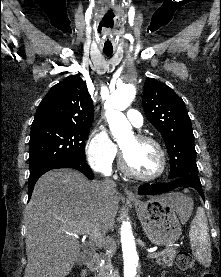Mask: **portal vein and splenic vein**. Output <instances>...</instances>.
<instances>
[{"instance_id": "portal-vein-and-splenic-vein-1", "label": "portal vein and splenic vein", "mask_w": 221, "mask_h": 277, "mask_svg": "<svg viewBox=\"0 0 221 277\" xmlns=\"http://www.w3.org/2000/svg\"><path fill=\"white\" fill-rule=\"evenodd\" d=\"M82 233L83 234H89L91 237H93L95 240L98 241V244H106L107 243V241H105L103 235L91 226L85 227ZM75 236H77V235H75ZM169 249H170L169 247H166L164 250H161L159 252H151L148 256L151 257V258L152 257H157V256L163 254V252H165L166 250H169Z\"/></svg>"}]
</instances>
